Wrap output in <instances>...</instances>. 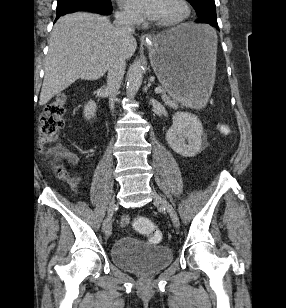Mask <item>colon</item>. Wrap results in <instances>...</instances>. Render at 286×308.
<instances>
[{"mask_svg":"<svg viewBox=\"0 0 286 308\" xmlns=\"http://www.w3.org/2000/svg\"><path fill=\"white\" fill-rule=\"evenodd\" d=\"M66 103V95H57L46 105L39 118V144L44 151L53 155L56 160L60 156V149L56 146L55 142L60 130L63 128ZM55 168L59 177H67V172L57 161ZM135 228L140 233L147 235L151 243H159L162 239L161 233L155 228L153 223L143 216L137 218Z\"/></svg>","mask_w":286,"mask_h":308,"instance_id":"colon-1","label":"colon"}]
</instances>
